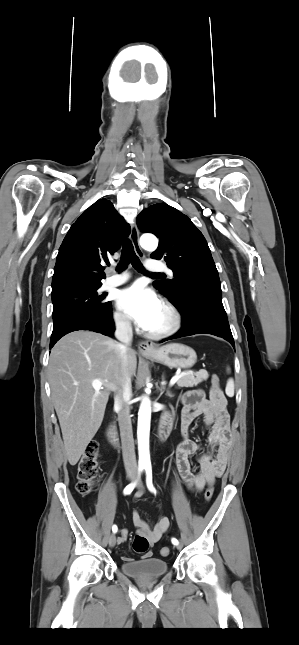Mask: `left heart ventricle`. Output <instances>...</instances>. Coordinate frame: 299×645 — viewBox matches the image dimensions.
Wrapping results in <instances>:
<instances>
[{
  "instance_id": "left-heart-ventricle-1",
  "label": "left heart ventricle",
  "mask_w": 299,
  "mask_h": 645,
  "mask_svg": "<svg viewBox=\"0 0 299 645\" xmlns=\"http://www.w3.org/2000/svg\"><path fill=\"white\" fill-rule=\"evenodd\" d=\"M167 324V315L163 308L159 312L158 316L156 317L155 321L151 325V327L148 329L149 331H157L162 328H164Z\"/></svg>"
}]
</instances>
